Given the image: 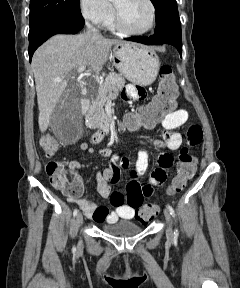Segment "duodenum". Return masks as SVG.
I'll return each instance as SVG.
<instances>
[{"label": "duodenum", "instance_id": "obj_1", "mask_svg": "<svg viewBox=\"0 0 240 288\" xmlns=\"http://www.w3.org/2000/svg\"><path fill=\"white\" fill-rule=\"evenodd\" d=\"M81 108L83 113L87 114L92 125H96L98 127V132L96 133L95 139L100 140L99 138L102 137L109 131V127L112 122V116L110 114H102L97 117L90 115L89 113V101L83 99L81 101Z\"/></svg>", "mask_w": 240, "mask_h": 288}]
</instances>
